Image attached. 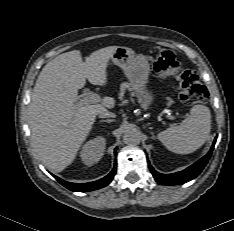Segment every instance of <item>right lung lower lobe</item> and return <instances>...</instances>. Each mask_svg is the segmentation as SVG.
I'll list each match as a JSON object with an SVG mask.
<instances>
[{"instance_id":"98d812e1","label":"right lung lower lobe","mask_w":234,"mask_h":231,"mask_svg":"<svg viewBox=\"0 0 234 231\" xmlns=\"http://www.w3.org/2000/svg\"><path fill=\"white\" fill-rule=\"evenodd\" d=\"M115 173H116V163L114 165L113 170L110 172V174H108L107 176H105L104 178L100 180L90 182V183H81V184L71 183V182H66L54 175L53 176L58 182H60L63 186H65L69 190L76 191V192H85V191H92V190L105 187L112 181Z\"/></svg>"}]
</instances>
